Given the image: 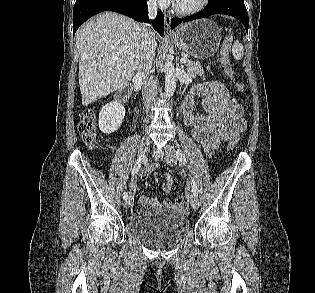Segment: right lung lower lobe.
<instances>
[{"mask_svg":"<svg viewBox=\"0 0 315 293\" xmlns=\"http://www.w3.org/2000/svg\"><path fill=\"white\" fill-rule=\"evenodd\" d=\"M103 11H115L139 22L149 21L147 0H76L73 9L74 34L83 22ZM153 27L161 36L163 35L164 17L161 11L157 13Z\"/></svg>","mask_w":315,"mask_h":293,"instance_id":"1","label":"right lung lower lobe"}]
</instances>
